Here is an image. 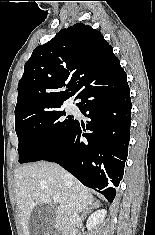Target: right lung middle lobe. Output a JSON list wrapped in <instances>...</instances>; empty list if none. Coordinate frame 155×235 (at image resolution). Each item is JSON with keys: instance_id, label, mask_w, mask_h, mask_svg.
Segmentation results:
<instances>
[{"instance_id": "1", "label": "right lung middle lobe", "mask_w": 155, "mask_h": 235, "mask_svg": "<svg viewBox=\"0 0 155 235\" xmlns=\"http://www.w3.org/2000/svg\"><path fill=\"white\" fill-rule=\"evenodd\" d=\"M60 107L28 111L15 118L20 163L43 160L65 143L76 120L64 118Z\"/></svg>"}]
</instances>
